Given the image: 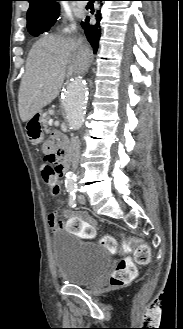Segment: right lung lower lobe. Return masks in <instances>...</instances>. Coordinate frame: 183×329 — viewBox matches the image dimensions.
Returning a JSON list of instances; mask_svg holds the SVG:
<instances>
[{
	"mask_svg": "<svg viewBox=\"0 0 183 329\" xmlns=\"http://www.w3.org/2000/svg\"><path fill=\"white\" fill-rule=\"evenodd\" d=\"M102 1V0H97ZM96 22L91 23L90 17L87 16L85 21L81 23L86 37L88 41L90 42L91 46L93 47L94 53H96L98 47H99V40L101 37V27H100V21H101V13L100 11H97L95 14Z\"/></svg>",
	"mask_w": 183,
	"mask_h": 329,
	"instance_id": "right-lung-lower-lobe-1",
	"label": "right lung lower lobe"
}]
</instances>
